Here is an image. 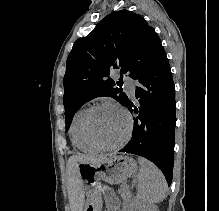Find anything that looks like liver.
Listing matches in <instances>:
<instances>
[{
  "instance_id": "1",
  "label": "liver",
  "mask_w": 219,
  "mask_h": 211,
  "mask_svg": "<svg viewBox=\"0 0 219 211\" xmlns=\"http://www.w3.org/2000/svg\"><path fill=\"white\" fill-rule=\"evenodd\" d=\"M103 157L104 155H98V157L97 155H91V157H87V155H84V153H79V155H71V157H69V201L71 211H83L84 205V191L82 189L80 179L76 177V167L78 161H100V159H103Z\"/></svg>"
}]
</instances>
